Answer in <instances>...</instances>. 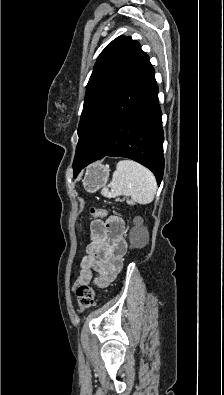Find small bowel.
<instances>
[{
	"label": "small bowel",
	"instance_id": "obj_1",
	"mask_svg": "<svg viewBox=\"0 0 224 395\" xmlns=\"http://www.w3.org/2000/svg\"><path fill=\"white\" fill-rule=\"evenodd\" d=\"M123 231L124 222L119 217H111L106 222L100 219L91 222L89 243L86 255L81 260L75 286L91 281L106 286L114 280L122 269L123 256L127 252Z\"/></svg>",
	"mask_w": 224,
	"mask_h": 395
}]
</instances>
